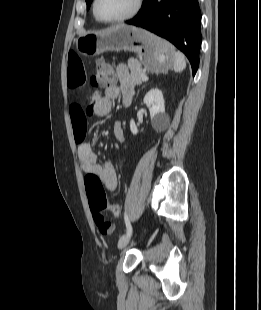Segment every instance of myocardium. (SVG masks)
<instances>
[{
    "label": "myocardium",
    "instance_id": "obj_1",
    "mask_svg": "<svg viewBox=\"0 0 261 310\" xmlns=\"http://www.w3.org/2000/svg\"><path fill=\"white\" fill-rule=\"evenodd\" d=\"M97 3H98V0H93L92 9H93V14L95 18L98 21L105 23V24H115V23L125 22V21H128L134 18L139 13L142 7L143 0H135L134 6L129 13H127L124 16L114 18V19H106V18L101 17L97 11Z\"/></svg>",
    "mask_w": 261,
    "mask_h": 310
}]
</instances>
